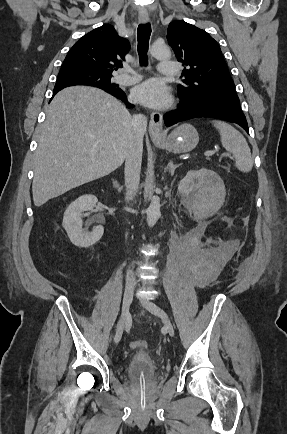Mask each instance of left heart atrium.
I'll return each mask as SVG.
<instances>
[{
  "mask_svg": "<svg viewBox=\"0 0 287 434\" xmlns=\"http://www.w3.org/2000/svg\"><path fill=\"white\" fill-rule=\"evenodd\" d=\"M133 97L139 103L151 108H164L170 103L166 87L159 80L151 79L133 91Z\"/></svg>",
  "mask_w": 287,
  "mask_h": 434,
  "instance_id": "39dd6f15",
  "label": "left heart atrium"
}]
</instances>
